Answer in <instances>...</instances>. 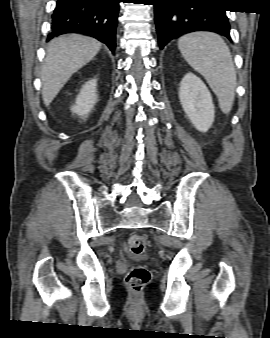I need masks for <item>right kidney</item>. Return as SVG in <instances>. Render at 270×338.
<instances>
[{
    "mask_svg": "<svg viewBox=\"0 0 270 338\" xmlns=\"http://www.w3.org/2000/svg\"><path fill=\"white\" fill-rule=\"evenodd\" d=\"M96 86V79H92L82 86L75 105L71 107L73 113L81 117H86L90 113L97 100Z\"/></svg>",
    "mask_w": 270,
    "mask_h": 338,
    "instance_id": "right-kidney-1",
    "label": "right kidney"
}]
</instances>
